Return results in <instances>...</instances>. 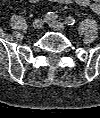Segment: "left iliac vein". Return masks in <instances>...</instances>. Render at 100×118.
<instances>
[{
    "mask_svg": "<svg viewBox=\"0 0 100 118\" xmlns=\"http://www.w3.org/2000/svg\"><path fill=\"white\" fill-rule=\"evenodd\" d=\"M47 23L49 26L55 30L62 31L65 29V26L63 23L58 22V21H53V20H48Z\"/></svg>",
    "mask_w": 100,
    "mask_h": 118,
    "instance_id": "1",
    "label": "left iliac vein"
}]
</instances>
